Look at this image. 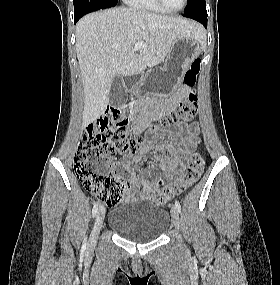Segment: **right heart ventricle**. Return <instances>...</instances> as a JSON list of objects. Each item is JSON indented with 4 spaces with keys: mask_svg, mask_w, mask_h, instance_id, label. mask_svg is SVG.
Returning a JSON list of instances; mask_svg holds the SVG:
<instances>
[{
    "mask_svg": "<svg viewBox=\"0 0 280 285\" xmlns=\"http://www.w3.org/2000/svg\"><path fill=\"white\" fill-rule=\"evenodd\" d=\"M128 5L146 12L165 13L156 0H126Z\"/></svg>",
    "mask_w": 280,
    "mask_h": 285,
    "instance_id": "obj_1",
    "label": "right heart ventricle"
}]
</instances>
